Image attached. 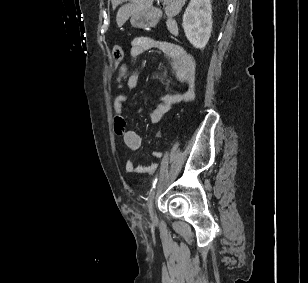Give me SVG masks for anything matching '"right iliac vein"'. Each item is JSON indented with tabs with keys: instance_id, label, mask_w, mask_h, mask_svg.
<instances>
[{
	"instance_id": "63e3f726",
	"label": "right iliac vein",
	"mask_w": 308,
	"mask_h": 283,
	"mask_svg": "<svg viewBox=\"0 0 308 283\" xmlns=\"http://www.w3.org/2000/svg\"><path fill=\"white\" fill-rule=\"evenodd\" d=\"M157 188L158 186H156L150 193V197L148 199V208H149V213L151 216H153V213H154V199H155V196H156V192H157Z\"/></svg>"
}]
</instances>
